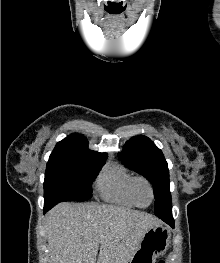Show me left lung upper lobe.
<instances>
[{"label": "left lung upper lobe", "instance_id": "left-lung-upper-lobe-1", "mask_svg": "<svg viewBox=\"0 0 220 263\" xmlns=\"http://www.w3.org/2000/svg\"><path fill=\"white\" fill-rule=\"evenodd\" d=\"M119 159L128 168L146 177L155 194V214L172 211L169 190V170L162 151L145 136H135L127 141Z\"/></svg>", "mask_w": 220, "mask_h": 263}]
</instances>
